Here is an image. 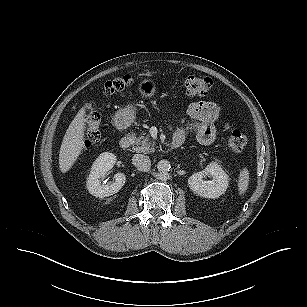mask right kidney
<instances>
[{
	"label": "right kidney",
	"mask_w": 307,
	"mask_h": 307,
	"mask_svg": "<svg viewBox=\"0 0 307 307\" xmlns=\"http://www.w3.org/2000/svg\"><path fill=\"white\" fill-rule=\"evenodd\" d=\"M116 160L114 154L104 152L94 161L86 184L90 194L99 198L108 197L117 193L123 187L126 182L124 173L115 174V181L111 184H102L100 181V178L113 168Z\"/></svg>",
	"instance_id": "1"
}]
</instances>
